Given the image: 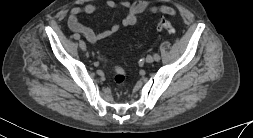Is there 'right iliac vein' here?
<instances>
[{
	"label": "right iliac vein",
	"mask_w": 253,
	"mask_h": 138,
	"mask_svg": "<svg viewBox=\"0 0 253 138\" xmlns=\"http://www.w3.org/2000/svg\"><path fill=\"white\" fill-rule=\"evenodd\" d=\"M79 46H80V48H81L83 51L86 50V44H85V42H84L83 40H80V41H79Z\"/></svg>",
	"instance_id": "1"
}]
</instances>
